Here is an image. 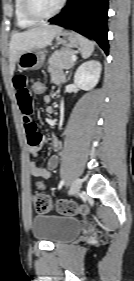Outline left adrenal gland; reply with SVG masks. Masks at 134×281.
Instances as JSON below:
<instances>
[{"label":"left adrenal gland","instance_id":"1","mask_svg":"<svg viewBox=\"0 0 134 281\" xmlns=\"http://www.w3.org/2000/svg\"><path fill=\"white\" fill-rule=\"evenodd\" d=\"M70 77H71V73H70V75H69V77H68V80L70 79Z\"/></svg>","mask_w":134,"mask_h":281}]
</instances>
